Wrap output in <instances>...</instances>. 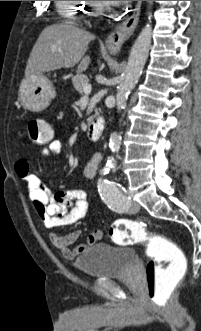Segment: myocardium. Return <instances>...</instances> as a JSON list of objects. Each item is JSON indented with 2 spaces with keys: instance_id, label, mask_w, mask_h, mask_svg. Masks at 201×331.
Here are the masks:
<instances>
[{
  "instance_id": "myocardium-1",
  "label": "myocardium",
  "mask_w": 201,
  "mask_h": 331,
  "mask_svg": "<svg viewBox=\"0 0 201 331\" xmlns=\"http://www.w3.org/2000/svg\"><path fill=\"white\" fill-rule=\"evenodd\" d=\"M90 3H92L94 6V9L90 12L91 16L97 17L104 13V8L101 3L98 1H90Z\"/></svg>"
}]
</instances>
